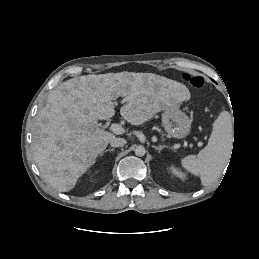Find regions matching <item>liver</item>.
I'll use <instances>...</instances> for the list:
<instances>
[{"mask_svg":"<svg viewBox=\"0 0 259 259\" xmlns=\"http://www.w3.org/2000/svg\"><path fill=\"white\" fill-rule=\"evenodd\" d=\"M184 87L153 73L126 71L63 82L50 92L34 124V159L42 177L59 192L72 190L115 137L98 127V120L114 116L113 100L127 98L121 116L132 125H141L187 100Z\"/></svg>","mask_w":259,"mask_h":259,"instance_id":"6515ba94","label":"liver"}]
</instances>
